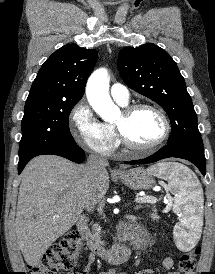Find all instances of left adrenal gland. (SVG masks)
I'll list each match as a JSON object with an SVG mask.
<instances>
[{
  "label": "left adrenal gland",
  "mask_w": 215,
  "mask_h": 274,
  "mask_svg": "<svg viewBox=\"0 0 215 274\" xmlns=\"http://www.w3.org/2000/svg\"><path fill=\"white\" fill-rule=\"evenodd\" d=\"M141 208V205L140 206H136L135 207V210H138V209H140Z\"/></svg>",
  "instance_id": "1"
}]
</instances>
